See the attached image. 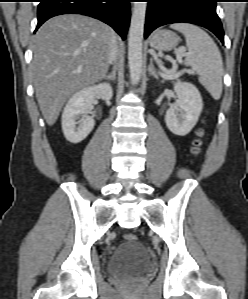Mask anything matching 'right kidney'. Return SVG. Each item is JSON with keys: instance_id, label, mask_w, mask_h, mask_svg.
<instances>
[{"instance_id": "right-kidney-1", "label": "right kidney", "mask_w": 248, "mask_h": 299, "mask_svg": "<svg viewBox=\"0 0 248 299\" xmlns=\"http://www.w3.org/2000/svg\"><path fill=\"white\" fill-rule=\"evenodd\" d=\"M112 87L106 83L89 86L74 93L68 100L62 114V130L65 138L71 143H80L92 131L95 121L87 113L92 109L95 97L110 100ZM79 115H84L83 124L76 127Z\"/></svg>"}]
</instances>
